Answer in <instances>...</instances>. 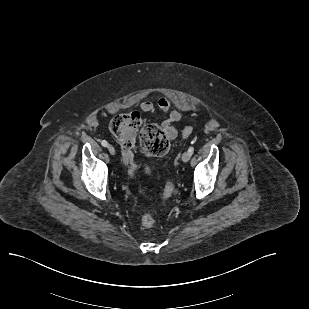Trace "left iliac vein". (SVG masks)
Masks as SVG:
<instances>
[{
    "label": "left iliac vein",
    "mask_w": 309,
    "mask_h": 309,
    "mask_svg": "<svg viewBox=\"0 0 309 309\" xmlns=\"http://www.w3.org/2000/svg\"><path fill=\"white\" fill-rule=\"evenodd\" d=\"M191 154L189 152H184L182 155V161L188 162L190 160Z\"/></svg>",
    "instance_id": "1"
}]
</instances>
